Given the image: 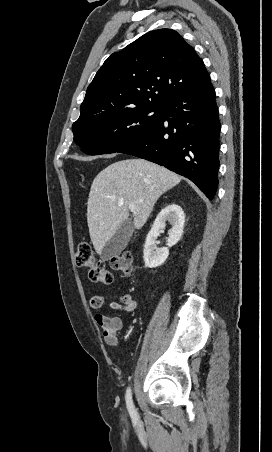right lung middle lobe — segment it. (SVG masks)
<instances>
[{"label": "right lung middle lobe", "mask_w": 272, "mask_h": 452, "mask_svg": "<svg viewBox=\"0 0 272 452\" xmlns=\"http://www.w3.org/2000/svg\"><path fill=\"white\" fill-rule=\"evenodd\" d=\"M161 110L143 105L78 120L72 126L74 141L89 155L119 152L149 130Z\"/></svg>", "instance_id": "1"}]
</instances>
